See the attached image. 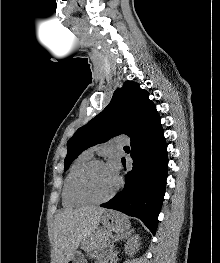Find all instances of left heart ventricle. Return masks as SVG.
I'll use <instances>...</instances> for the list:
<instances>
[{"label":"left heart ventricle","instance_id":"left-heart-ventricle-1","mask_svg":"<svg viewBox=\"0 0 220 263\" xmlns=\"http://www.w3.org/2000/svg\"><path fill=\"white\" fill-rule=\"evenodd\" d=\"M117 184L115 176L107 165H97L89 170L80 182V191L91 198H102L109 194Z\"/></svg>","mask_w":220,"mask_h":263}]
</instances>
